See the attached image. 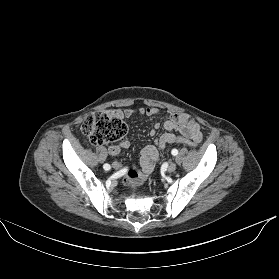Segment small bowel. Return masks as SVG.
I'll return each instance as SVG.
<instances>
[{
	"label": "small bowel",
	"mask_w": 279,
	"mask_h": 279,
	"mask_svg": "<svg viewBox=\"0 0 279 279\" xmlns=\"http://www.w3.org/2000/svg\"><path fill=\"white\" fill-rule=\"evenodd\" d=\"M116 113L118 116L126 119L132 117L136 113L155 118L156 121L150 130L151 135H155L156 131L161 127V114L154 107H141L137 110L125 108L123 110H117ZM163 129L165 132L159 137L156 145H147L142 149L140 159L141 168H132L126 172L123 183L129 188L135 189L145 182L149 174L153 171L155 162L159 158V151L163 150L167 144L175 143L179 137L190 139L197 144L202 140V132L199 123L190 119L185 113H172L163 123ZM129 144V140L125 138L111 145L108 151L112 156H117L123 149L127 148Z\"/></svg>",
	"instance_id": "small-bowel-1"
}]
</instances>
